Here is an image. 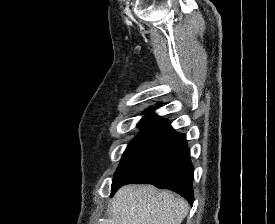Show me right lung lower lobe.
Returning a JSON list of instances; mask_svg holds the SVG:
<instances>
[{
  "mask_svg": "<svg viewBox=\"0 0 275 224\" xmlns=\"http://www.w3.org/2000/svg\"><path fill=\"white\" fill-rule=\"evenodd\" d=\"M193 178L185 134L161 120L115 174L111 196L126 184H152L179 193L192 205Z\"/></svg>",
  "mask_w": 275,
  "mask_h": 224,
  "instance_id": "obj_1",
  "label": "right lung lower lobe"
}]
</instances>
